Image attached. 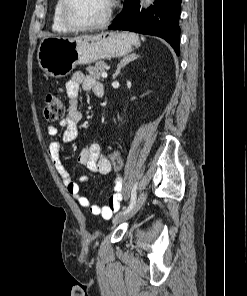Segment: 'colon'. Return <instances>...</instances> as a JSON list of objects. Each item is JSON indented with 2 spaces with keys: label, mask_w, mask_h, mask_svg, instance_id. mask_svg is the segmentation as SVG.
Segmentation results:
<instances>
[{
  "label": "colon",
  "mask_w": 247,
  "mask_h": 296,
  "mask_svg": "<svg viewBox=\"0 0 247 296\" xmlns=\"http://www.w3.org/2000/svg\"><path fill=\"white\" fill-rule=\"evenodd\" d=\"M65 113V106L61 98L55 94H48L43 106V116L46 121L54 122L61 119ZM109 161L115 172L123 168V159L119 153L113 152L109 156Z\"/></svg>",
  "instance_id": "5ec220e1"
}]
</instances>
